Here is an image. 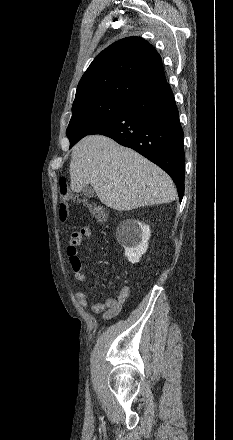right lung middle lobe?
I'll return each mask as SVG.
<instances>
[{"instance_id": "obj_1", "label": "right lung middle lobe", "mask_w": 233, "mask_h": 440, "mask_svg": "<svg viewBox=\"0 0 233 440\" xmlns=\"http://www.w3.org/2000/svg\"><path fill=\"white\" fill-rule=\"evenodd\" d=\"M127 102L112 98H92L73 103L72 118L66 131L70 148L106 124Z\"/></svg>"}]
</instances>
